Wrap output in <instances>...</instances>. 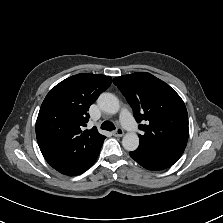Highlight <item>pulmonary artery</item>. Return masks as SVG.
Masks as SVG:
<instances>
[{"mask_svg": "<svg viewBox=\"0 0 223 223\" xmlns=\"http://www.w3.org/2000/svg\"><path fill=\"white\" fill-rule=\"evenodd\" d=\"M119 118L122 120L121 128L125 132L138 133L142 129V124L132 119V110L128 106H123L119 110Z\"/></svg>", "mask_w": 223, "mask_h": 223, "instance_id": "1", "label": "pulmonary artery"}]
</instances>
